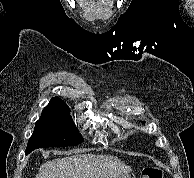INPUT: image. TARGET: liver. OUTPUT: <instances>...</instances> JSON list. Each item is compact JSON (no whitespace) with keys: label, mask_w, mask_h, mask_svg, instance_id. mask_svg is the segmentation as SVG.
Returning <instances> with one entry per match:
<instances>
[{"label":"liver","mask_w":194,"mask_h":178,"mask_svg":"<svg viewBox=\"0 0 194 178\" xmlns=\"http://www.w3.org/2000/svg\"><path fill=\"white\" fill-rule=\"evenodd\" d=\"M130 171L115 156L78 154L44 163L36 178H115Z\"/></svg>","instance_id":"1"}]
</instances>
